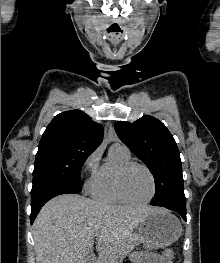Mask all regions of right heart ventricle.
I'll list each match as a JSON object with an SVG mask.
<instances>
[{
  "label": "right heart ventricle",
  "instance_id": "1",
  "mask_svg": "<svg viewBox=\"0 0 220 263\" xmlns=\"http://www.w3.org/2000/svg\"><path fill=\"white\" fill-rule=\"evenodd\" d=\"M130 159V154L111 147L109 159L99 168L91 187V193L96 200L113 204L124 203L116 190V172Z\"/></svg>",
  "mask_w": 220,
  "mask_h": 263
}]
</instances>
